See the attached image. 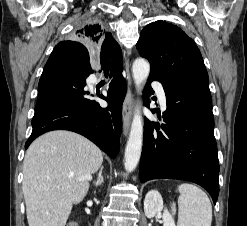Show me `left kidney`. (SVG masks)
<instances>
[{
    "label": "left kidney",
    "instance_id": "1",
    "mask_svg": "<svg viewBox=\"0 0 247 226\" xmlns=\"http://www.w3.org/2000/svg\"><path fill=\"white\" fill-rule=\"evenodd\" d=\"M163 211V226H176L169 211L164 208L161 194L156 190L149 191L144 200V212L146 217L153 218L157 213Z\"/></svg>",
    "mask_w": 247,
    "mask_h": 226
}]
</instances>
